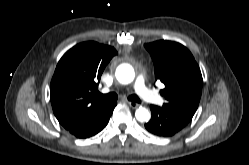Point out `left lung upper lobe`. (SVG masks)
<instances>
[{
    "instance_id": "obj_1",
    "label": "left lung upper lobe",
    "mask_w": 249,
    "mask_h": 165,
    "mask_svg": "<svg viewBox=\"0 0 249 165\" xmlns=\"http://www.w3.org/2000/svg\"><path fill=\"white\" fill-rule=\"evenodd\" d=\"M144 46L152 57L155 79L165 85L160 91L166 100L162 107L193 117L203 84L193 55L185 46L173 41L161 40Z\"/></svg>"
}]
</instances>
